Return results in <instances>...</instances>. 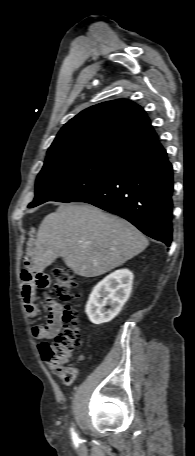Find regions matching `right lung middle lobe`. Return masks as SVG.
I'll return each instance as SVG.
<instances>
[{"label": "right lung middle lobe", "mask_w": 195, "mask_h": 456, "mask_svg": "<svg viewBox=\"0 0 195 456\" xmlns=\"http://www.w3.org/2000/svg\"><path fill=\"white\" fill-rule=\"evenodd\" d=\"M123 166L94 159L45 163L29 208L47 201L74 202L111 179Z\"/></svg>", "instance_id": "1"}]
</instances>
